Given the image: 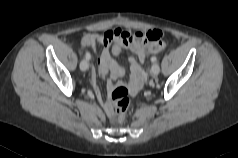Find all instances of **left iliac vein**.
Wrapping results in <instances>:
<instances>
[{"instance_id":"obj_1","label":"left iliac vein","mask_w":238,"mask_h":158,"mask_svg":"<svg viewBox=\"0 0 238 158\" xmlns=\"http://www.w3.org/2000/svg\"><path fill=\"white\" fill-rule=\"evenodd\" d=\"M160 72V67L158 63H153L152 67H151V74L156 76L158 75Z\"/></svg>"}]
</instances>
